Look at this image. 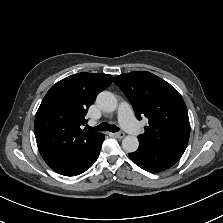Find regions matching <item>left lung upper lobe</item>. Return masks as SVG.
<instances>
[{"label": "left lung upper lobe", "mask_w": 223, "mask_h": 223, "mask_svg": "<svg viewBox=\"0 0 223 223\" xmlns=\"http://www.w3.org/2000/svg\"><path fill=\"white\" fill-rule=\"evenodd\" d=\"M114 83L131 102L138 119L149 126L138 136L139 148L180 159L189 140L190 123L182 96L168 82L147 72L125 73Z\"/></svg>", "instance_id": "5c2ea615"}]
</instances>
